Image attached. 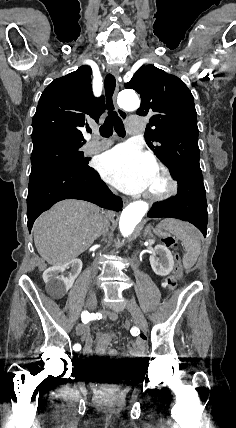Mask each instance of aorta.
<instances>
[{
  "mask_svg": "<svg viewBox=\"0 0 236 428\" xmlns=\"http://www.w3.org/2000/svg\"><path fill=\"white\" fill-rule=\"evenodd\" d=\"M119 105L126 111H133L139 108L140 100L133 90H123L118 95ZM149 205L144 201L130 203L121 213L119 229L124 237L130 236L137 224L147 213Z\"/></svg>",
  "mask_w": 236,
  "mask_h": 428,
  "instance_id": "762f6f07",
  "label": "aorta"
}]
</instances>
